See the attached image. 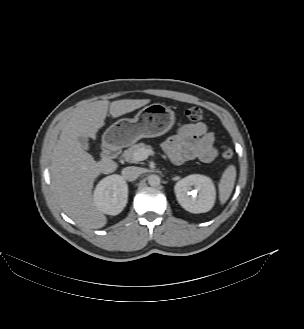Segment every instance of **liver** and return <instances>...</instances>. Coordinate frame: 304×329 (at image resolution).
I'll list each match as a JSON object with an SVG mask.
<instances>
[{
	"instance_id": "liver-1",
	"label": "liver",
	"mask_w": 304,
	"mask_h": 329,
	"mask_svg": "<svg viewBox=\"0 0 304 329\" xmlns=\"http://www.w3.org/2000/svg\"><path fill=\"white\" fill-rule=\"evenodd\" d=\"M150 102L149 99L100 100L86 104L66 123L51 157V185L62 210L83 227L99 229L107 218L92 198L94 180L101 174L116 170L117 163L109 158L95 161L82 148L79 136L96 139L109 113L113 118L132 112ZM109 106V108H108Z\"/></svg>"
}]
</instances>
